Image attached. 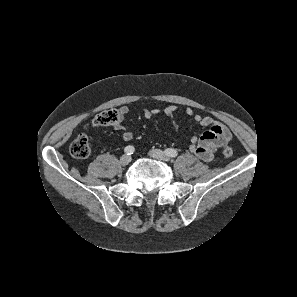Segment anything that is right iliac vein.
Segmentation results:
<instances>
[{
	"mask_svg": "<svg viewBox=\"0 0 297 297\" xmlns=\"http://www.w3.org/2000/svg\"><path fill=\"white\" fill-rule=\"evenodd\" d=\"M130 162H131V157H130V156H128V155H123V156H121V158H120V164H121L122 166H126V165H128Z\"/></svg>",
	"mask_w": 297,
	"mask_h": 297,
	"instance_id": "63e3f726",
	"label": "right iliac vein"
}]
</instances>
